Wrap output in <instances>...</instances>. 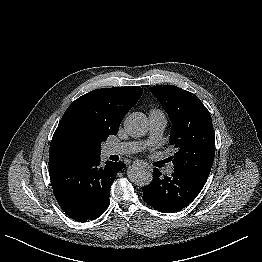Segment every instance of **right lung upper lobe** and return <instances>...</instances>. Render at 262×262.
Wrapping results in <instances>:
<instances>
[{
    "instance_id": "cb5924a9",
    "label": "right lung upper lobe",
    "mask_w": 262,
    "mask_h": 262,
    "mask_svg": "<svg viewBox=\"0 0 262 262\" xmlns=\"http://www.w3.org/2000/svg\"><path fill=\"white\" fill-rule=\"evenodd\" d=\"M141 87H115L93 90L76 99L66 110L53 135L49 162L92 156V145L80 142L85 131L115 135L124 115L137 103Z\"/></svg>"
}]
</instances>
